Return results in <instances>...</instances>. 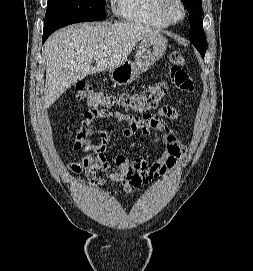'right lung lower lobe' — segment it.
<instances>
[{
	"instance_id": "98d812e1",
	"label": "right lung lower lobe",
	"mask_w": 253,
	"mask_h": 271,
	"mask_svg": "<svg viewBox=\"0 0 253 271\" xmlns=\"http://www.w3.org/2000/svg\"><path fill=\"white\" fill-rule=\"evenodd\" d=\"M49 36L50 34H43L42 43H44Z\"/></svg>"
}]
</instances>
